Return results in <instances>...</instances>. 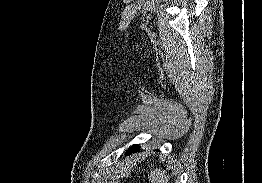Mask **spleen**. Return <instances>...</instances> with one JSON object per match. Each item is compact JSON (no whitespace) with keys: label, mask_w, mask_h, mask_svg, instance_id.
I'll return each mask as SVG.
<instances>
[{"label":"spleen","mask_w":262,"mask_h":183,"mask_svg":"<svg viewBox=\"0 0 262 183\" xmlns=\"http://www.w3.org/2000/svg\"><path fill=\"white\" fill-rule=\"evenodd\" d=\"M148 177L151 183H167L170 179L169 176L166 175V172L160 169L151 171Z\"/></svg>","instance_id":"3e777b00"}]
</instances>
